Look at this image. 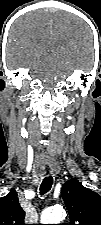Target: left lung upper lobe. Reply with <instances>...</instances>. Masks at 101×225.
Masks as SVG:
<instances>
[{
    "mask_svg": "<svg viewBox=\"0 0 101 225\" xmlns=\"http://www.w3.org/2000/svg\"><path fill=\"white\" fill-rule=\"evenodd\" d=\"M61 194L69 211L70 224L67 225H101L100 195L75 178L62 186Z\"/></svg>",
    "mask_w": 101,
    "mask_h": 225,
    "instance_id": "1",
    "label": "left lung upper lobe"
}]
</instances>
